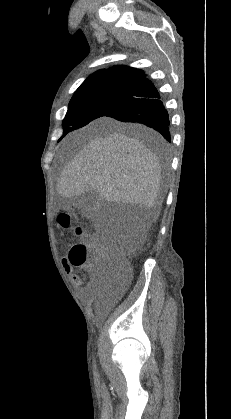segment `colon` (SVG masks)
<instances>
[{
  "label": "colon",
  "mask_w": 231,
  "mask_h": 419,
  "mask_svg": "<svg viewBox=\"0 0 231 419\" xmlns=\"http://www.w3.org/2000/svg\"><path fill=\"white\" fill-rule=\"evenodd\" d=\"M59 222L64 227L68 226L70 217L67 214H61ZM74 232L80 237L85 234V229L76 225ZM68 263L73 266L88 263L98 282L107 285L109 289L119 287L130 274L126 254L115 252L95 241L74 244L69 251Z\"/></svg>",
  "instance_id": "colon-1"
}]
</instances>
